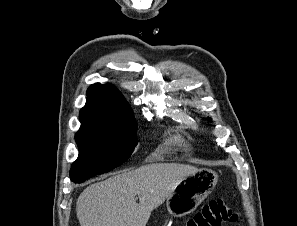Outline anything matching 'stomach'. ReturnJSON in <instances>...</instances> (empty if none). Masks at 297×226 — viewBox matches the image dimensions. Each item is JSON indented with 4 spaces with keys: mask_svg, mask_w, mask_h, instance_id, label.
<instances>
[{
    "mask_svg": "<svg viewBox=\"0 0 297 226\" xmlns=\"http://www.w3.org/2000/svg\"><path fill=\"white\" fill-rule=\"evenodd\" d=\"M218 175L210 169H199L182 179L167 198L168 212L175 217L188 215L211 193Z\"/></svg>",
    "mask_w": 297,
    "mask_h": 226,
    "instance_id": "0dacf381",
    "label": "stomach"
}]
</instances>
